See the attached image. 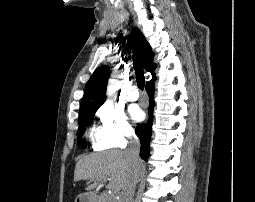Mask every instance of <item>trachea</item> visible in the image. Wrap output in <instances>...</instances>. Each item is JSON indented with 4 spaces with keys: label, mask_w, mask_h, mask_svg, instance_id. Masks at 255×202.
I'll return each instance as SVG.
<instances>
[{
    "label": "trachea",
    "mask_w": 255,
    "mask_h": 202,
    "mask_svg": "<svg viewBox=\"0 0 255 202\" xmlns=\"http://www.w3.org/2000/svg\"><path fill=\"white\" fill-rule=\"evenodd\" d=\"M133 67L136 74L137 85L139 89L143 90L145 85L144 70L140 63L139 57L136 54L133 55Z\"/></svg>",
    "instance_id": "trachea-1"
}]
</instances>
